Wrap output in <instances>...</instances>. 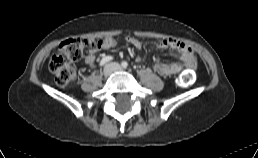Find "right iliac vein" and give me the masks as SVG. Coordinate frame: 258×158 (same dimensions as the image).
<instances>
[{"mask_svg": "<svg viewBox=\"0 0 258 158\" xmlns=\"http://www.w3.org/2000/svg\"><path fill=\"white\" fill-rule=\"evenodd\" d=\"M112 66L111 65H106L105 67H104V69H103V76L105 77V78H107V77H109L110 75H111V73H112Z\"/></svg>", "mask_w": 258, "mask_h": 158, "instance_id": "1", "label": "right iliac vein"}]
</instances>
